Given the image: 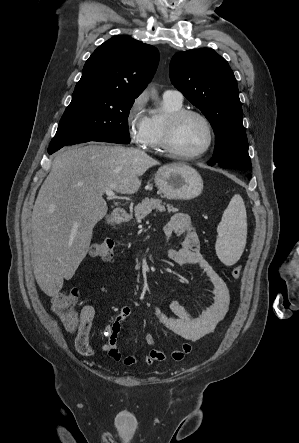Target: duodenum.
I'll list each match as a JSON object with an SVG mask.
<instances>
[{
	"label": "duodenum",
	"mask_w": 299,
	"mask_h": 443,
	"mask_svg": "<svg viewBox=\"0 0 299 443\" xmlns=\"http://www.w3.org/2000/svg\"><path fill=\"white\" fill-rule=\"evenodd\" d=\"M129 213L123 209L115 210L112 214L111 223L113 226H119L129 220Z\"/></svg>",
	"instance_id": "1"
}]
</instances>
